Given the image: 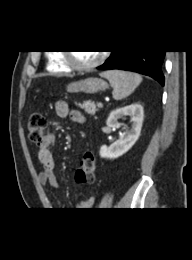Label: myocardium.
Instances as JSON below:
<instances>
[{"mask_svg":"<svg viewBox=\"0 0 192 260\" xmlns=\"http://www.w3.org/2000/svg\"><path fill=\"white\" fill-rule=\"evenodd\" d=\"M62 57L63 61L69 68L79 72H86L100 66L104 62L106 55L103 53L94 62L86 65H81L75 62L72 53L69 51L63 52Z\"/></svg>","mask_w":192,"mask_h":260,"instance_id":"obj_1","label":"myocardium"}]
</instances>
